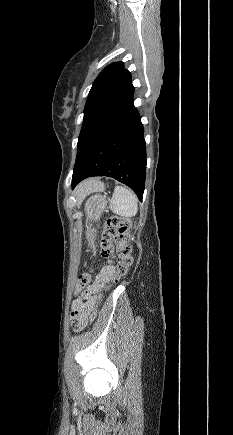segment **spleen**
I'll return each instance as SVG.
<instances>
[{
	"mask_svg": "<svg viewBox=\"0 0 233 435\" xmlns=\"http://www.w3.org/2000/svg\"><path fill=\"white\" fill-rule=\"evenodd\" d=\"M137 201L136 195L131 190L123 186H116L109 208L119 216L132 217L138 211Z\"/></svg>",
	"mask_w": 233,
	"mask_h": 435,
	"instance_id": "3e777b00",
	"label": "spleen"
}]
</instances>
